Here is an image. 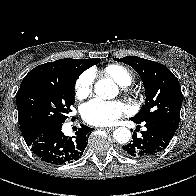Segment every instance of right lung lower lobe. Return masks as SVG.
I'll return each mask as SVG.
<instances>
[{
	"mask_svg": "<svg viewBox=\"0 0 196 196\" xmlns=\"http://www.w3.org/2000/svg\"><path fill=\"white\" fill-rule=\"evenodd\" d=\"M62 125L63 123H54L23 134L31 151L42 161L61 165L71 163L82 156L93 128L81 125L75 136L68 138L61 131Z\"/></svg>",
	"mask_w": 196,
	"mask_h": 196,
	"instance_id": "obj_1",
	"label": "right lung lower lobe"
}]
</instances>
